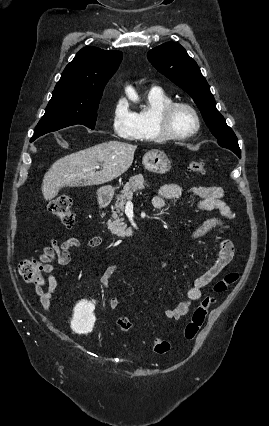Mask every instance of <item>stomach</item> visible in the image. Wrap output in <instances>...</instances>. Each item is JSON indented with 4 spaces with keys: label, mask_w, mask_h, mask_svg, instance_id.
Listing matches in <instances>:
<instances>
[{
    "label": "stomach",
    "mask_w": 269,
    "mask_h": 426,
    "mask_svg": "<svg viewBox=\"0 0 269 426\" xmlns=\"http://www.w3.org/2000/svg\"><path fill=\"white\" fill-rule=\"evenodd\" d=\"M144 167L151 172L164 174L171 169V162L167 155L162 151H149L143 157ZM102 194H111L113 188L111 186H103L100 189Z\"/></svg>",
    "instance_id": "stomach-1"
}]
</instances>
